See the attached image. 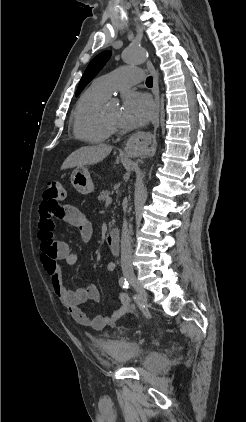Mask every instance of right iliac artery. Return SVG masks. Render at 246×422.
<instances>
[{
    "instance_id": "obj_1",
    "label": "right iliac artery",
    "mask_w": 246,
    "mask_h": 422,
    "mask_svg": "<svg viewBox=\"0 0 246 422\" xmlns=\"http://www.w3.org/2000/svg\"><path fill=\"white\" fill-rule=\"evenodd\" d=\"M119 285L121 286V287H123V288H129V284H128V281L126 280V278L125 277H121L120 279H119Z\"/></svg>"
}]
</instances>
